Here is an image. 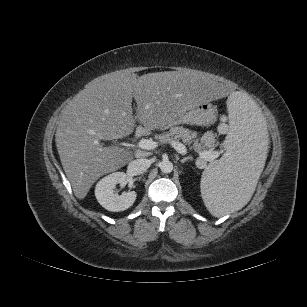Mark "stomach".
<instances>
[{
    "label": "stomach",
    "instance_id": "stomach-1",
    "mask_svg": "<svg viewBox=\"0 0 307 307\" xmlns=\"http://www.w3.org/2000/svg\"><path fill=\"white\" fill-rule=\"evenodd\" d=\"M217 117V110L211 103H199L174 118L169 124L160 127L168 128L176 124L210 125Z\"/></svg>",
    "mask_w": 307,
    "mask_h": 307
}]
</instances>
